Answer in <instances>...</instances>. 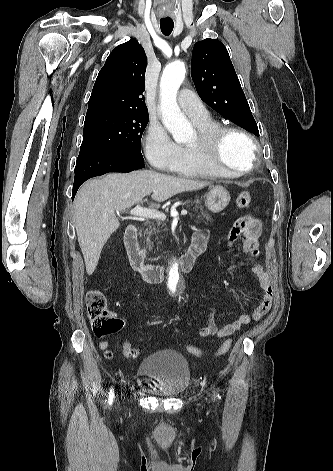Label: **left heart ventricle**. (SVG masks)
Returning <instances> with one entry per match:
<instances>
[{
  "label": "left heart ventricle",
  "instance_id": "left-heart-ventricle-1",
  "mask_svg": "<svg viewBox=\"0 0 333 471\" xmlns=\"http://www.w3.org/2000/svg\"><path fill=\"white\" fill-rule=\"evenodd\" d=\"M196 138L192 141V143ZM252 158L250 144L241 136L230 134L225 137L220 149L221 161L233 168L247 167Z\"/></svg>",
  "mask_w": 333,
  "mask_h": 471
}]
</instances>
